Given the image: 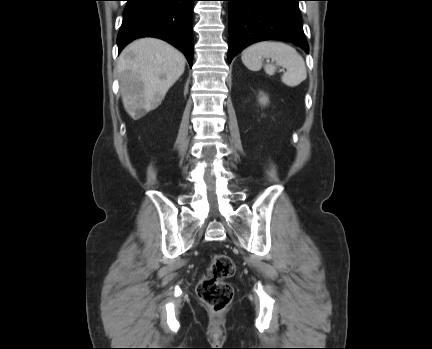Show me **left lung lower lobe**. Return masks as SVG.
Instances as JSON below:
<instances>
[{
	"mask_svg": "<svg viewBox=\"0 0 432 349\" xmlns=\"http://www.w3.org/2000/svg\"><path fill=\"white\" fill-rule=\"evenodd\" d=\"M226 1H229V63L238 52L263 40L292 42L308 53L299 14L300 0Z\"/></svg>",
	"mask_w": 432,
	"mask_h": 349,
	"instance_id": "0a47b994",
	"label": "left lung lower lobe"
}]
</instances>
